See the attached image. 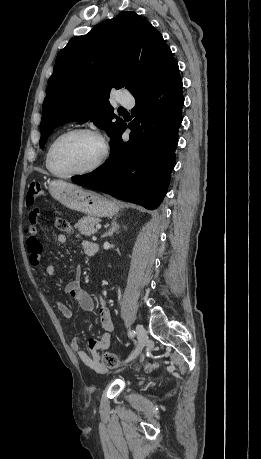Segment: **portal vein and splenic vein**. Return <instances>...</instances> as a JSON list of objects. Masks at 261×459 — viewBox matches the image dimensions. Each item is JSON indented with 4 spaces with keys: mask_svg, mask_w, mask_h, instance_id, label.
<instances>
[{
    "mask_svg": "<svg viewBox=\"0 0 261 459\" xmlns=\"http://www.w3.org/2000/svg\"><path fill=\"white\" fill-rule=\"evenodd\" d=\"M96 228H97V229H101V225H100V224H97V225H96Z\"/></svg>",
    "mask_w": 261,
    "mask_h": 459,
    "instance_id": "18ae733b",
    "label": "portal vein and splenic vein"
}]
</instances>
